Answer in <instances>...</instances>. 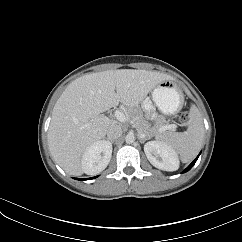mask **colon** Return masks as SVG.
<instances>
[{
  "instance_id": "obj_1",
  "label": "colon",
  "mask_w": 242,
  "mask_h": 242,
  "mask_svg": "<svg viewBox=\"0 0 242 242\" xmlns=\"http://www.w3.org/2000/svg\"><path fill=\"white\" fill-rule=\"evenodd\" d=\"M187 117L188 115L186 113H182L180 116H179V122L180 123H184L186 120H187Z\"/></svg>"
}]
</instances>
